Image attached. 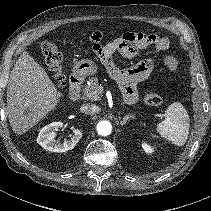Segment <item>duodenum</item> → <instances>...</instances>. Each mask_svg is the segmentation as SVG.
<instances>
[{"mask_svg":"<svg viewBox=\"0 0 211 211\" xmlns=\"http://www.w3.org/2000/svg\"><path fill=\"white\" fill-rule=\"evenodd\" d=\"M82 77L73 73L70 75L69 99L73 102L78 101L82 90Z\"/></svg>","mask_w":211,"mask_h":211,"instance_id":"obj_1","label":"duodenum"}]
</instances>
